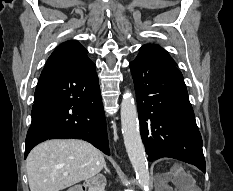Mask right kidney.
<instances>
[{
    "mask_svg": "<svg viewBox=\"0 0 233 191\" xmlns=\"http://www.w3.org/2000/svg\"><path fill=\"white\" fill-rule=\"evenodd\" d=\"M90 191H104L103 187H96V188H92Z\"/></svg>",
    "mask_w": 233,
    "mask_h": 191,
    "instance_id": "right-kidney-1",
    "label": "right kidney"
}]
</instances>
